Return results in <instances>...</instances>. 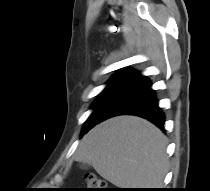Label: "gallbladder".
I'll return each instance as SVG.
<instances>
[{
  "label": "gallbladder",
  "mask_w": 210,
  "mask_h": 191,
  "mask_svg": "<svg viewBox=\"0 0 210 191\" xmlns=\"http://www.w3.org/2000/svg\"><path fill=\"white\" fill-rule=\"evenodd\" d=\"M80 167L86 169V168L89 167V165H88L87 163L83 162V163L80 165Z\"/></svg>",
  "instance_id": "obj_1"
}]
</instances>
